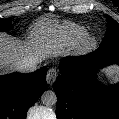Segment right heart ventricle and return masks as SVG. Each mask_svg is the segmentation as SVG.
Returning a JSON list of instances; mask_svg holds the SVG:
<instances>
[{"label":"right heart ventricle","instance_id":"right-heart-ventricle-1","mask_svg":"<svg viewBox=\"0 0 119 119\" xmlns=\"http://www.w3.org/2000/svg\"><path fill=\"white\" fill-rule=\"evenodd\" d=\"M62 33L63 44L74 45L86 35V30L80 25L70 23L63 27Z\"/></svg>","mask_w":119,"mask_h":119}]
</instances>
